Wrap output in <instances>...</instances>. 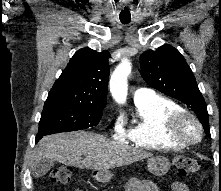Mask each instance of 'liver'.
Returning <instances> with one entry per match:
<instances>
[{
  "instance_id": "liver-1",
  "label": "liver",
  "mask_w": 221,
  "mask_h": 191,
  "mask_svg": "<svg viewBox=\"0 0 221 191\" xmlns=\"http://www.w3.org/2000/svg\"><path fill=\"white\" fill-rule=\"evenodd\" d=\"M152 154L85 131L45 136L39 141L35 162L51 159L65 165L108 170L149 158Z\"/></svg>"
}]
</instances>
